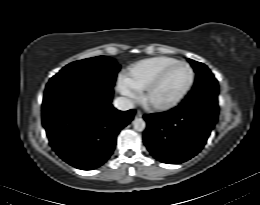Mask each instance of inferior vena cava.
I'll return each mask as SVG.
<instances>
[{
  "label": "inferior vena cava",
  "instance_id": "602c4592",
  "mask_svg": "<svg viewBox=\"0 0 260 205\" xmlns=\"http://www.w3.org/2000/svg\"><path fill=\"white\" fill-rule=\"evenodd\" d=\"M113 105L118 110L126 111L134 108L132 100L126 97H118L114 100Z\"/></svg>",
  "mask_w": 260,
  "mask_h": 205
}]
</instances>
